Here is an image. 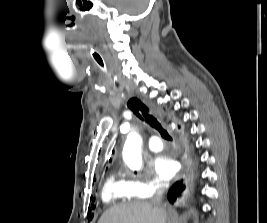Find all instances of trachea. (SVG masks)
Listing matches in <instances>:
<instances>
[{"mask_svg":"<svg viewBox=\"0 0 267 223\" xmlns=\"http://www.w3.org/2000/svg\"><path fill=\"white\" fill-rule=\"evenodd\" d=\"M128 107L134 112V114L142 121L148 123L152 128L156 129L165 140H172L169 133L162 128L161 124L152 114L149 113V109L138 98L132 97L128 101Z\"/></svg>","mask_w":267,"mask_h":223,"instance_id":"3493384b","label":"trachea"}]
</instances>
